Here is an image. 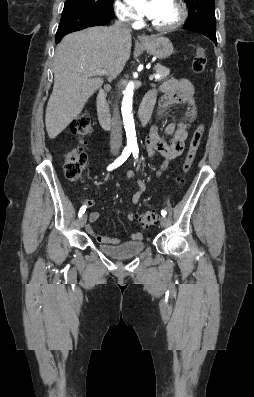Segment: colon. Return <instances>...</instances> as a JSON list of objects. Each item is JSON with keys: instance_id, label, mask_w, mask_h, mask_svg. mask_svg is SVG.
I'll use <instances>...</instances> for the list:
<instances>
[{"instance_id": "colon-1", "label": "colon", "mask_w": 254, "mask_h": 397, "mask_svg": "<svg viewBox=\"0 0 254 397\" xmlns=\"http://www.w3.org/2000/svg\"><path fill=\"white\" fill-rule=\"evenodd\" d=\"M206 65V56L201 46H196V53L192 63V69L195 73H201ZM92 126L89 115L83 113L76 117L71 125L70 131L73 136L77 137L79 144L68 150L64 157V173L68 180L75 182L79 180L87 164V154L83 148L84 138L91 133ZM204 134V125H199L191 138L188 152L183 164V171L187 173L194 161ZM137 220L141 225L149 226L158 222V214L155 210H149L137 215Z\"/></svg>"}]
</instances>
